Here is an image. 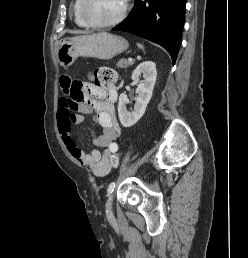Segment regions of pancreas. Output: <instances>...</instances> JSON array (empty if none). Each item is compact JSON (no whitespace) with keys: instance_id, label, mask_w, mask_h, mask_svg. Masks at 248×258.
<instances>
[{"instance_id":"cf45deb5","label":"pancreas","mask_w":248,"mask_h":258,"mask_svg":"<svg viewBox=\"0 0 248 258\" xmlns=\"http://www.w3.org/2000/svg\"><path fill=\"white\" fill-rule=\"evenodd\" d=\"M133 62L128 61L127 59H120L117 63L118 68H123L131 65Z\"/></svg>"}]
</instances>
